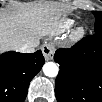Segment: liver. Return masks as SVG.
I'll return each instance as SVG.
<instances>
[{"mask_svg":"<svg viewBox=\"0 0 102 102\" xmlns=\"http://www.w3.org/2000/svg\"><path fill=\"white\" fill-rule=\"evenodd\" d=\"M62 15L53 1L37 0L14 9L1 10L0 45L3 51L16 50L32 39L44 36L47 26Z\"/></svg>","mask_w":102,"mask_h":102,"instance_id":"liver-1","label":"liver"}]
</instances>
